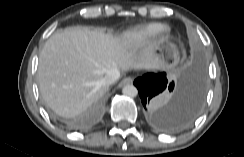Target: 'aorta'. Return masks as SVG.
Wrapping results in <instances>:
<instances>
[{"instance_id": "aorta-1", "label": "aorta", "mask_w": 244, "mask_h": 157, "mask_svg": "<svg viewBox=\"0 0 244 157\" xmlns=\"http://www.w3.org/2000/svg\"><path fill=\"white\" fill-rule=\"evenodd\" d=\"M122 93L127 97H135L138 94V90L134 85L128 84L123 87Z\"/></svg>"}]
</instances>
